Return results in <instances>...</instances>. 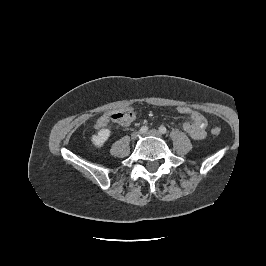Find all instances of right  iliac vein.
I'll use <instances>...</instances> for the list:
<instances>
[{
    "mask_svg": "<svg viewBox=\"0 0 266 266\" xmlns=\"http://www.w3.org/2000/svg\"><path fill=\"white\" fill-rule=\"evenodd\" d=\"M131 138L132 140H136L138 138V133L137 132L132 133Z\"/></svg>",
    "mask_w": 266,
    "mask_h": 266,
    "instance_id": "1",
    "label": "right iliac vein"
}]
</instances>
